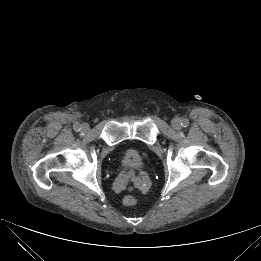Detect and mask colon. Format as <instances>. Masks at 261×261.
Masks as SVG:
<instances>
[{
	"mask_svg": "<svg viewBox=\"0 0 261 261\" xmlns=\"http://www.w3.org/2000/svg\"><path fill=\"white\" fill-rule=\"evenodd\" d=\"M137 203V198L134 195H127L123 198V204L125 206H134Z\"/></svg>",
	"mask_w": 261,
	"mask_h": 261,
	"instance_id": "5ec220e1",
	"label": "colon"
}]
</instances>
